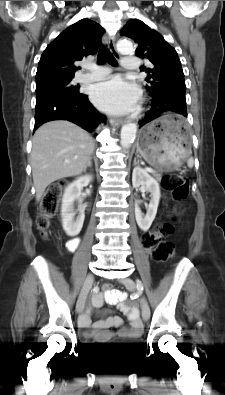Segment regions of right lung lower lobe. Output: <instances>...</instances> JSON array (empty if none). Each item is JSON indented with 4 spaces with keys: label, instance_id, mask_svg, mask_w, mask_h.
Wrapping results in <instances>:
<instances>
[{
    "label": "right lung lower lobe",
    "instance_id": "98d812e1",
    "mask_svg": "<svg viewBox=\"0 0 225 395\" xmlns=\"http://www.w3.org/2000/svg\"><path fill=\"white\" fill-rule=\"evenodd\" d=\"M51 120H68L89 132L94 131L100 122H106L84 94L59 95L36 106L35 129Z\"/></svg>",
    "mask_w": 225,
    "mask_h": 395
}]
</instances>
